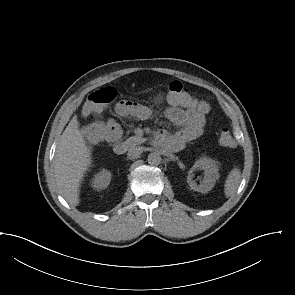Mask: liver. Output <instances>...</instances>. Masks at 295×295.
I'll return each instance as SVG.
<instances>
[{
    "instance_id": "6515ba94",
    "label": "liver",
    "mask_w": 295,
    "mask_h": 295,
    "mask_svg": "<svg viewBox=\"0 0 295 295\" xmlns=\"http://www.w3.org/2000/svg\"><path fill=\"white\" fill-rule=\"evenodd\" d=\"M92 162L91 152L74 116L61 135L54 159V176L59 192L76 206L80 202V186Z\"/></svg>"
}]
</instances>
